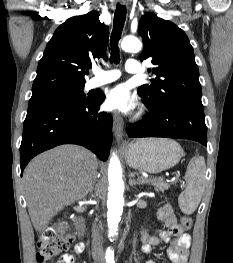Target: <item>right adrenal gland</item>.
<instances>
[{"label": "right adrenal gland", "mask_w": 233, "mask_h": 263, "mask_svg": "<svg viewBox=\"0 0 233 263\" xmlns=\"http://www.w3.org/2000/svg\"><path fill=\"white\" fill-rule=\"evenodd\" d=\"M94 184V183H93ZM93 191V186H91L89 193H91Z\"/></svg>", "instance_id": "obj_1"}]
</instances>
